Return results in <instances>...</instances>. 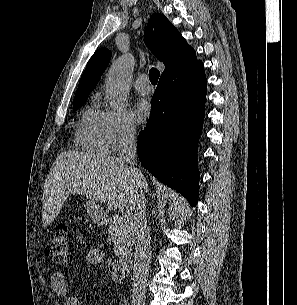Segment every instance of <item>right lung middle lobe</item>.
<instances>
[{"mask_svg": "<svg viewBox=\"0 0 297 305\" xmlns=\"http://www.w3.org/2000/svg\"><path fill=\"white\" fill-rule=\"evenodd\" d=\"M86 98H82V99L74 101V106H73L74 110H76L77 108L81 107L84 104V101L86 100Z\"/></svg>", "mask_w": 297, "mask_h": 305, "instance_id": "right-lung-middle-lobe-1", "label": "right lung middle lobe"}]
</instances>
